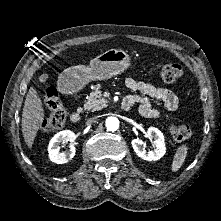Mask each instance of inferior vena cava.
Here are the masks:
<instances>
[{
	"instance_id": "602c4592",
	"label": "inferior vena cava",
	"mask_w": 221,
	"mask_h": 221,
	"mask_svg": "<svg viewBox=\"0 0 221 221\" xmlns=\"http://www.w3.org/2000/svg\"><path fill=\"white\" fill-rule=\"evenodd\" d=\"M93 121V119H89L88 121H87V123H91Z\"/></svg>"
}]
</instances>
